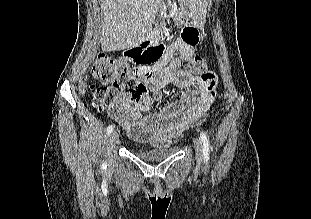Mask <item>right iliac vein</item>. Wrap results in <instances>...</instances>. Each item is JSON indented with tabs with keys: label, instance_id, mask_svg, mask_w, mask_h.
<instances>
[{
	"label": "right iliac vein",
	"instance_id": "63e3f726",
	"mask_svg": "<svg viewBox=\"0 0 311 219\" xmlns=\"http://www.w3.org/2000/svg\"><path fill=\"white\" fill-rule=\"evenodd\" d=\"M119 141V135L116 131L112 132L111 136H110V151H111V156L113 157V154L115 152V147L116 144Z\"/></svg>",
	"mask_w": 311,
	"mask_h": 219
}]
</instances>
